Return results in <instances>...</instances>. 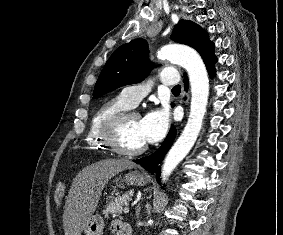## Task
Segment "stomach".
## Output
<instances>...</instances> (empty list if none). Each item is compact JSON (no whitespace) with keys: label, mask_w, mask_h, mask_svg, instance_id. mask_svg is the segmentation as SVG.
Masks as SVG:
<instances>
[{"label":"stomach","mask_w":283,"mask_h":235,"mask_svg":"<svg viewBox=\"0 0 283 235\" xmlns=\"http://www.w3.org/2000/svg\"><path fill=\"white\" fill-rule=\"evenodd\" d=\"M125 181L127 184L144 186L147 183V177L137 171H130L125 175ZM104 229V220L103 218L96 214L92 215L86 225L83 228L84 235H102Z\"/></svg>","instance_id":"stomach-1"}]
</instances>
